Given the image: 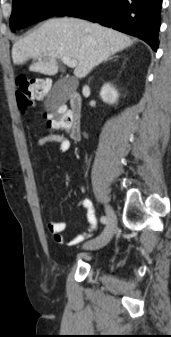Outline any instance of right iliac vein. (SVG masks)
I'll return each instance as SVG.
<instances>
[{"label": "right iliac vein", "mask_w": 171, "mask_h": 337, "mask_svg": "<svg viewBox=\"0 0 171 337\" xmlns=\"http://www.w3.org/2000/svg\"><path fill=\"white\" fill-rule=\"evenodd\" d=\"M105 211L108 219L107 225L104 231L97 238L85 243L84 247L86 249L91 250L100 249L105 245H107L113 238L117 229V218L111 206L106 205Z\"/></svg>", "instance_id": "obj_1"}]
</instances>
